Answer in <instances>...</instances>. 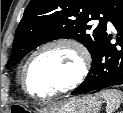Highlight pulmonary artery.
Returning a JSON list of instances; mask_svg holds the SVG:
<instances>
[{
	"label": "pulmonary artery",
	"instance_id": "e3ab8cb5",
	"mask_svg": "<svg viewBox=\"0 0 123 113\" xmlns=\"http://www.w3.org/2000/svg\"><path fill=\"white\" fill-rule=\"evenodd\" d=\"M108 25H109V27H112V23L111 22H108Z\"/></svg>",
	"mask_w": 123,
	"mask_h": 113
}]
</instances>
